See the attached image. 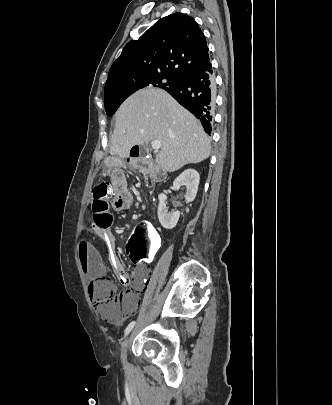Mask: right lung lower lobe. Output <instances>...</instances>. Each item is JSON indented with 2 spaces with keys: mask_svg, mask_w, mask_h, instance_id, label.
<instances>
[{
  "mask_svg": "<svg viewBox=\"0 0 332 405\" xmlns=\"http://www.w3.org/2000/svg\"><path fill=\"white\" fill-rule=\"evenodd\" d=\"M167 92L199 118L206 133H211L215 81L210 62L181 76L179 83Z\"/></svg>",
  "mask_w": 332,
  "mask_h": 405,
  "instance_id": "obj_1",
  "label": "right lung lower lobe"
}]
</instances>
